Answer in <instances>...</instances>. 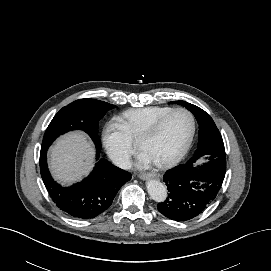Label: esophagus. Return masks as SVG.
<instances>
[{
  "label": "esophagus",
  "mask_w": 271,
  "mask_h": 271,
  "mask_svg": "<svg viewBox=\"0 0 271 271\" xmlns=\"http://www.w3.org/2000/svg\"><path fill=\"white\" fill-rule=\"evenodd\" d=\"M139 178L142 180L159 179L160 175L157 173H143L139 175Z\"/></svg>",
  "instance_id": "esophagus-1"
}]
</instances>
